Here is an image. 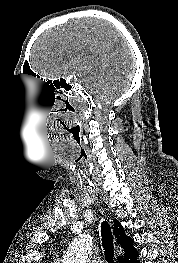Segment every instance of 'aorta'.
<instances>
[{"mask_svg": "<svg viewBox=\"0 0 178 263\" xmlns=\"http://www.w3.org/2000/svg\"><path fill=\"white\" fill-rule=\"evenodd\" d=\"M93 247L90 234L75 237L62 260V263H86Z\"/></svg>", "mask_w": 178, "mask_h": 263, "instance_id": "obj_1", "label": "aorta"}]
</instances>
